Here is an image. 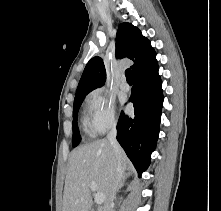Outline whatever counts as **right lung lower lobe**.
<instances>
[{
	"instance_id": "obj_1",
	"label": "right lung lower lobe",
	"mask_w": 221,
	"mask_h": 211,
	"mask_svg": "<svg viewBox=\"0 0 221 211\" xmlns=\"http://www.w3.org/2000/svg\"><path fill=\"white\" fill-rule=\"evenodd\" d=\"M158 69L155 64L133 76L129 101L134 103V116L129 118L122 112L117 125V140L139 176L150 164L159 135L163 92Z\"/></svg>"
}]
</instances>
